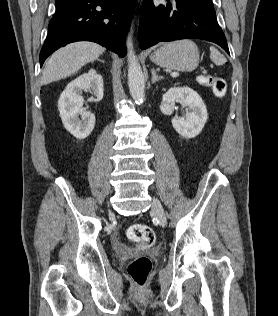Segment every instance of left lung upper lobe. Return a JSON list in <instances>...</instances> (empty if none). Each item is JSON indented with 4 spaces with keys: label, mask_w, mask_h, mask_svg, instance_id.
<instances>
[{
    "label": "left lung upper lobe",
    "mask_w": 278,
    "mask_h": 316,
    "mask_svg": "<svg viewBox=\"0 0 278 316\" xmlns=\"http://www.w3.org/2000/svg\"><path fill=\"white\" fill-rule=\"evenodd\" d=\"M191 1L197 3L198 5L204 7L212 12H215L212 0H191Z\"/></svg>",
    "instance_id": "1"
}]
</instances>
